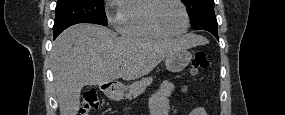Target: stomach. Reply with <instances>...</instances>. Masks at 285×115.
<instances>
[{"label": "stomach", "instance_id": "0dacf381", "mask_svg": "<svg viewBox=\"0 0 285 115\" xmlns=\"http://www.w3.org/2000/svg\"><path fill=\"white\" fill-rule=\"evenodd\" d=\"M192 55L187 50L178 51L165 58L166 69L170 72H181L191 61ZM125 86L115 85L109 86L104 90L105 95L114 101H120L124 97Z\"/></svg>", "mask_w": 285, "mask_h": 115}]
</instances>
